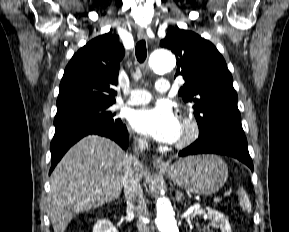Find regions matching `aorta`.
Wrapping results in <instances>:
<instances>
[{
    "label": "aorta",
    "instance_id": "762f6f07",
    "mask_svg": "<svg viewBox=\"0 0 289 232\" xmlns=\"http://www.w3.org/2000/svg\"><path fill=\"white\" fill-rule=\"evenodd\" d=\"M175 65V57L171 52L164 49L153 51L149 57V67L157 73L170 72ZM156 207V225L159 232H179L171 202L165 197H160L157 200Z\"/></svg>",
    "mask_w": 289,
    "mask_h": 232
}]
</instances>
